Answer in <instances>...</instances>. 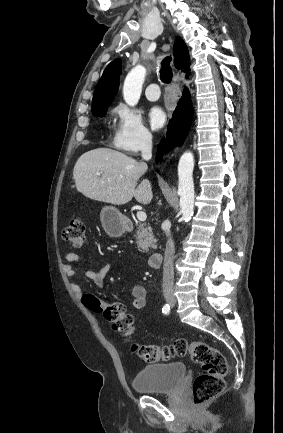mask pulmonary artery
I'll return each instance as SVG.
<instances>
[{
	"mask_svg": "<svg viewBox=\"0 0 283 433\" xmlns=\"http://www.w3.org/2000/svg\"><path fill=\"white\" fill-rule=\"evenodd\" d=\"M145 96L150 101H156L160 98V90L157 83H148Z\"/></svg>",
	"mask_w": 283,
	"mask_h": 433,
	"instance_id": "obj_1",
	"label": "pulmonary artery"
}]
</instances>
